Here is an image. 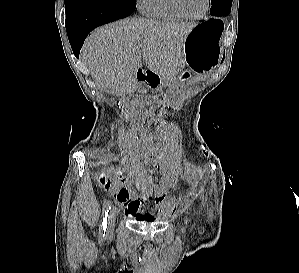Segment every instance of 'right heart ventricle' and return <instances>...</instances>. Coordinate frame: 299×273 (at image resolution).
<instances>
[{
    "instance_id": "e07e8e85",
    "label": "right heart ventricle",
    "mask_w": 299,
    "mask_h": 273,
    "mask_svg": "<svg viewBox=\"0 0 299 273\" xmlns=\"http://www.w3.org/2000/svg\"><path fill=\"white\" fill-rule=\"evenodd\" d=\"M143 12L155 19L165 21H179L185 17L176 9L173 0H144Z\"/></svg>"
}]
</instances>
